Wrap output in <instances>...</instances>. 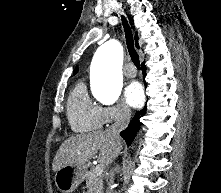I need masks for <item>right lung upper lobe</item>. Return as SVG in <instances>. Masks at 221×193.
I'll list each match as a JSON object with an SVG mask.
<instances>
[{
	"label": "right lung upper lobe",
	"instance_id": "obj_1",
	"mask_svg": "<svg viewBox=\"0 0 221 193\" xmlns=\"http://www.w3.org/2000/svg\"><path fill=\"white\" fill-rule=\"evenodd\" d=\"M135 43H136V47L139 48V45H138V35L136 34L135 35ZM78 71V68L76 67L75 71H74V74H76Z\"/></svg>",
	"mask_w": 221,
	"mask_h": 193
}]
</instances>
